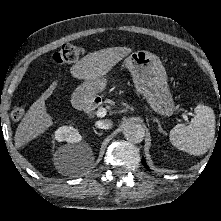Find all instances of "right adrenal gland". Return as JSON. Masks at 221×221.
<instances>
[{
    "label": "right adrenal gland",
    "mask_w": 221,
    "mask_h": 221,
    "mask_svg": "<svg viewBox=\"0 0 221 221\" xmlns=\"http://www.w3.org/2000/svg\"><path fill=\"white\" fill-rule=\"evenodd\" d=\"M94 133L97 134L98 136H101L103 134L102 132L98 133L95 129H94Z\"/></svg>",
    "instance_id": "1"
}]
</instances>
